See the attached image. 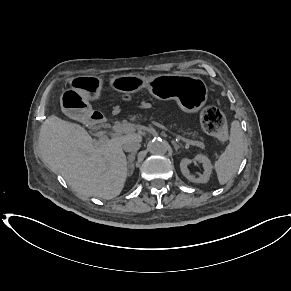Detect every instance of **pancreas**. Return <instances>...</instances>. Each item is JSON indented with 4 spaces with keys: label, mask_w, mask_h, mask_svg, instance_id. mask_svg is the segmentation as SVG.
<instances>
[{
    "label": "pancreas",
    "mask_w": 291,
    "mask_h": 291,
    "mask_svg": "<svg viewBox=\"0 0 291 291\" xmlns=\"http://www.w3.org/2000/svg\"><path fill=\"white\" fill-rule=\"evenodd\" d=\"M154 119H158L160 122L164 123L167 117L162 116V114H158V113H151L150 115L136 114V115L130 116V121L136 122V123H140L146 120H154ZM170 127L176 129L183 136L191 137L192 139H195L198 137V134L196 132H192L190 131L189 128H186L183 125H179L178 123H170Z\"/></svg>",
    "instance_id": "pancreas-1"
}]
</instances>
